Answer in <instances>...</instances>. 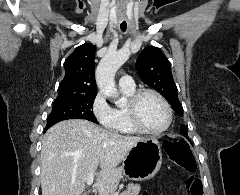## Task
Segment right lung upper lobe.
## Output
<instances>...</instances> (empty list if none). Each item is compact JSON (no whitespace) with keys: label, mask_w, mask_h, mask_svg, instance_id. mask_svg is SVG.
Returning <instances> with one entry per match:
<instances>
[{"label":"right lung upper lobe","mask_w":240,"mask_h":195,"mask_svg":"<svg viewBox=\"0 0 240 195\" xmlns=\"http://www.w3.org/2000/svg\"><path fill=\"white\" fill-rule=\"evenodd\" d=\"M96 46L85 43L65 61V77L59 85L58 96H96L94 57Z\"/></svg>","instance_id":"cb5924a9"}]
</instances>
